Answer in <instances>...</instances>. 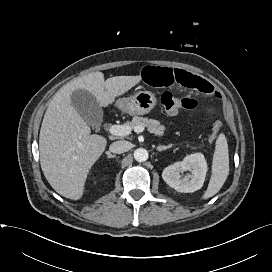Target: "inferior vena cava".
I'll list each match as a JSON object with an SVG mask.
<instances>
[{
	"mask_svg": "<svg viewBox=\"0 0 272 272\" xmlns=\"http://www.w3.org/2000/svg\"><path fill=\"white\" fill-rule=\"evenodd\" d=\"M131 147H132V144L130 142L121 140V141L113 142L110 145L109 150L112 153L121 154L130 150Z\"/></svg>",
	"mask_w": 272,
	"mask_h": 272,
	"instance_id": "1",
	"label": "inferior vena cava"
}]
</instances>
